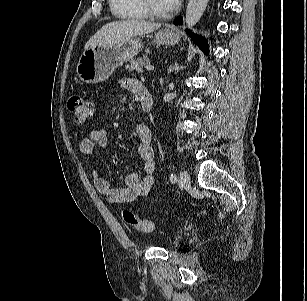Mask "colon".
<instances>
[{
  "mask_svg": "<svg viewBox=\"0 0 307 301\" xmlns=\"http://www.w3.org/2000/svg\"><path fill=\"white\" fill-rule=\"evenodd\" d=\"M68 108L78 124H84L94 116V104L80 95H73L68 100ZM124 222L139 232L150 233L154 229L151 220L138 217L129 210L122 212Z\"/></svg>",
  "mask_w": 307,
  "mask_h": 301,
  "instance_id": "obj_1",
  "label": "colon"
}]
</instances>
